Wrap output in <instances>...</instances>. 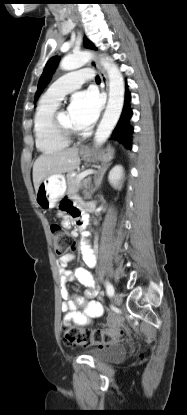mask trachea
I'll return each mask as SVG.
<instances>
[{"mask_svg": "<svg viewBox=\"0 0 187 415\" xmlns=\"http://www.w3.org/2000/svg\"><path fill=\"white\" fill-rule=\"evenodd\" d=\"M95 81H96V82H100V81H101V80H100V77H99V76H96Z\"/></svg>", "mask_w": 187, "mask_h": 415, "instance_id": "3493384b", "label": "trachea"}]
</instances>
